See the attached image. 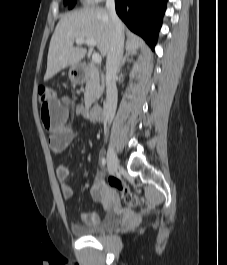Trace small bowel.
<instances>
[{
    "label": "small bowel",
    "instance_id": "1",
    "mask_svg": "<svg viewBox=\"0 0 227 265\" xmlns=\"http://www.w3.org/2000/svg\"><path fill=\"white\" fill-rule=\"evenodd\" d=\"M66 104H75V99H55L50 102H41L39 117L45 129L49 132L48 142L50 149L56 153H62L73 141L74 131L67 125L68 108ZM75 112L81 117L93 120L82 105H76ZM56 176L60 184L61 194L64 199L70 200L74 197V190L68 182L70 170L66 165H59ZM92 198L108 208L110 197L104 189V182L101 174H97L91 187ZM81 220L84 224L92 226L100 222V216L95 212H83Z\"/></svg>",
    "mask_w": 227,
    "mask_h": 265
}]
</instances>
